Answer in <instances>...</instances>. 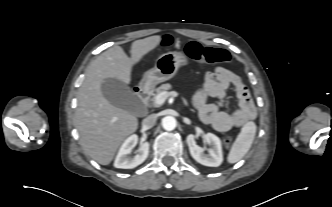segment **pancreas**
Instances as JSON below:
<instances>
[{
  "mask_svg": "<svg viewBox=\"0 0 332 207\" xmlns=\"http://www.w3.org/2000/svg\"><path fill=\"white\" fill-rule=\"evenodd\" d=\"M172 88V85L169 84V83H166V84H162L161 86H159L158 88L155 89V92L152 94V98H151V103L152 105L154 106H160V105H156L155 104V99L156 97L162 93V92H167L169 89Z\"/></svg>",
  "mask_w": 332,
  "mask_h": 207,
  "instance_id": "cf45deb5",
  "label": "pancreas"
}]
</instances>
